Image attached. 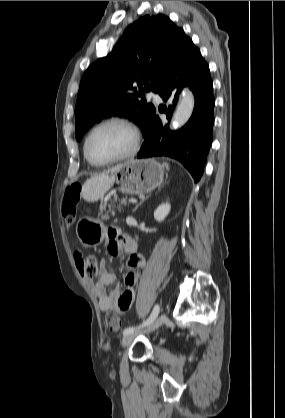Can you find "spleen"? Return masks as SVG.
I'll return each instance as SVG.
<instances>
[{"label":"spleen","mask_w":285,"mask_h":418,"mask_svg":"<svg viewBox=\"0 0 285 418\" xmlns=\"http://www.w3.org/2000/svg\"><path fill=\"white\" fill-rule=\"evenodd\" d=\"M163 166H165L167 169L169 168V165L167 163H164Z\"/></svg>","instance_id":"obj_1"}]
</instances>
